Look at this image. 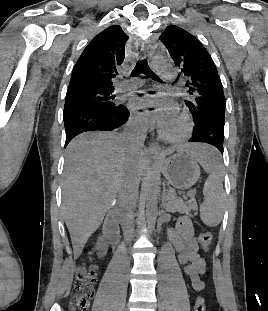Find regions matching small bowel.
Instances as JSON below:
<instances>
[{"label":"small bowel","mask_w":268,"mask_h":311,"mask_svg":"<svg viewBox=\"0 0 268 311\" xmlns=\"http://www.w3.org/2000/svg\"><path fill=\"white\" fill-rule=\"evenodd\" d=\"M168 237L178 253L177 259L183 273L191 280L192 288L195 291H202L205 283L201 275L206 272V262L199 255V246L191 219L188 216L179 217L175 227L169 228Z\"/></svg>","instance_id":"c3829d8e"}]
</instances>
